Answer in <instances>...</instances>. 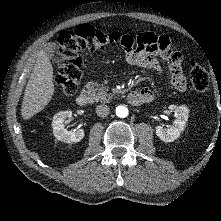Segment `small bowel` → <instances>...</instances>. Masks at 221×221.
Segmentation results:
<instances>
[{
	"label": "small bowel",
	"mask_w": 221,
	"mask_h": 221,
	"mask_svg": "<svg viewBox=\"0 0 221 221\" xmlns=\"http://www.w3.org/2000/svg\"><path fill=\"white\" fill-rule=\"evenodd\" d=\"M130 43L122 46L125 50V57L129 64L153 69L159 72L163 68L157 57H161L168 63L171 85L180 92L187 88L186 77L181 68L182 55L174 51L171 40L167 35H160L154 32L140 33L136 38L130 36ZM140 92L149 102L154 99L155 94L148 88Z\"/></svg>",
	"instance_id": "1"
}]
</instances>
